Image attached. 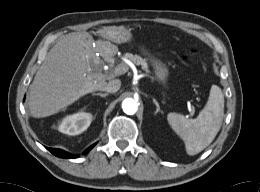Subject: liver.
I'll return each mask as SVG.
<instances>
[{"instance_id": "obj_1", "label": "liver", "mask_w": 260, "mask_h": 192, "mask_svg": "<svg viewBox=\"0 0 260 192\" xmlns=\"http://www.w3.org/2000/svg\"><path fill=\"white\" fill-rule=\"evenodd\" d=\"M114 28L105 27L99 33L111 40ZM93 43L88 33L68 34L50 49L30 85L28 106L33 117L53 115L107 84V77L102 73L103 62L96 54L99 52L108 59L117 48L101 40L94 48Z\"/></svg>"}]
</instances>
